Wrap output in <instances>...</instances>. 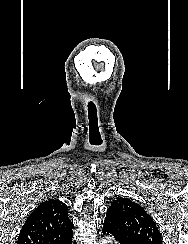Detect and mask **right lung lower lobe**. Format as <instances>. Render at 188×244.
I'll return each mask as SVG.
<instances>
[{"mask_svg": "<svg viewBox=\"0 0 188 244\" xmlns=\"http://www.w3.org/2000/svg\"><path fill=\"white\" fill-rule=\"evenodd\" d=\"M52 244H72V232L68 233L59 241L53 242Z\"/></svg>", "mask_w": 188, "mask_h": 244, "instance_id": "1", "label": "right lung lower lobe"}]
</instances>
